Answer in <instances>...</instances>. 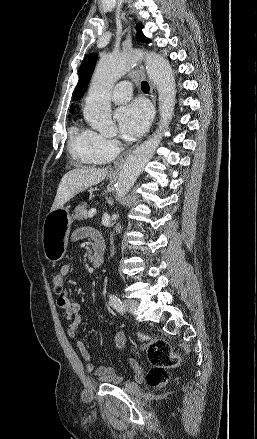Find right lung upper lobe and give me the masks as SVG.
Listing matches in <instances>:
<instances>
[{"label":"right lung upper lobe","instance_id":"right-lung-upper-lobe-1","mask_svg":"<svg viewBox=\"0 0 257 439\" xmlns=\"http://www.w3.org/2000/svg\"><path fill=\"white\" fill-rule=\"evenodd\" d=\"M74 109H75L74 105H71V106H70V111L73 112Z\"/></svg>","mask_w":257,"mask_h":439}]
</instances>
